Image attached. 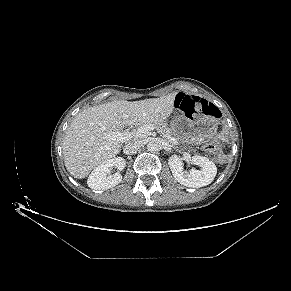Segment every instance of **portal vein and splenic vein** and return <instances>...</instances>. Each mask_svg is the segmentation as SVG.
Here are the masks:
<instances>
[{
	"mask_svg": "<svg viewBox=\"0 0 291 291\" xmlns=\"http://www.w3.org/2000/svg\"><path fill=\"white\" fill-rule=\"evenodd\" d=\"M152 130H154V127L152 125L141 126L140 128H138L134 132H129V131L121 132V131L117 130V131L110 133L108 135V138H110L111 140H114V141H118V142H126L132 138H140L142 136H145L146 134H148ZM166 138L170 143L177 144L176 139H174L170 136H167Z\"/></svg>",
	"mask_w": 291,
	"mask_h": 291,
	"instance_id": "obj_1",
	"label": "portal vein and splenic vein"
}]
</instances>
